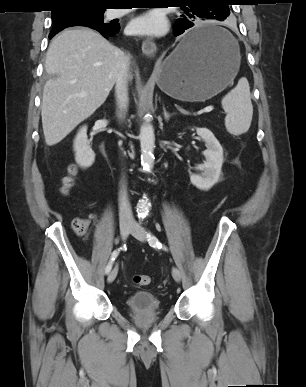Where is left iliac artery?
Wrapping results in <instances>:
<instances>
[{
  "instance_id": "left-iliac-artery-1",
  "label": "left iliac artery",
  "mask_w": 306,
  "mask_h": 387,
  "mask_svg": "<svg viewBox=\"0 0 306 387\" xmlns=\"http://www.w3.org/2000/svg\"><path fill=\"white\" fill-rule=\"evenodd\" d=\"M147 238L150 246L158 249L168 250L167 247L162 245V243L157 239V237L151 234L150 232L147 234Z\"/></svg>"
}]
</instances>
